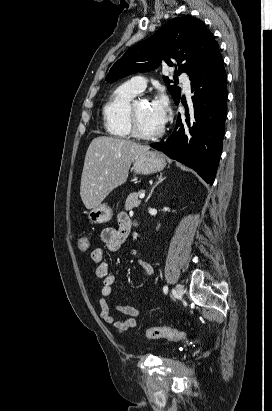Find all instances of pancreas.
I'll return each instance as SVG.
<instances>
[{
  "mask_svg": "<svg viewBox=\"0 0 272 411\" xmlns=\"http://www.w3.org/2000/svg\"><path fill=\"white\" fill-rule=\"evenodd\" d=\"M140 192H133L128 195L126 201H125V209L126 210H131L135 207H138L140 205V200L138 199Z\"/></svg>",
  "mask_w": 272,
  "mask_h": 411,
  "instance_id": "cf45deb5",
  "label": "pancreas"
}]
</instances>
